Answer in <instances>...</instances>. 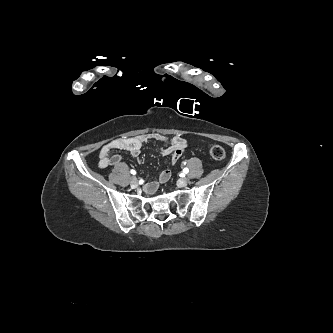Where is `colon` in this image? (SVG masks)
I'll list each match as a JSON object with an SVG mask.
<instances>
[{
	"instance_id": "5ec220e1",
	"label": "colon",
	"mask_w": 333,
	"mask_h": 333,
	"mask_svg": "<svg viewBox=\"0 0 333 333\" xmlns=\"http://www.w3.org/2000/svg\"><path fill=\"white\" fill-rule=\"evenodd\" d=\"M210 156L217 161H221L225 158V150L218 145H214L210 148Z\"/></svg>"
}]
</instances>
